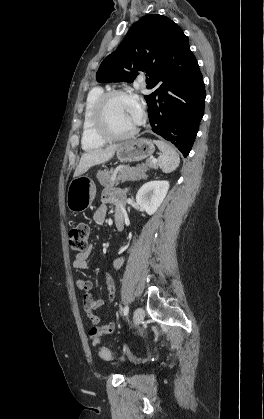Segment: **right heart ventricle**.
I'll list each match as a JSON object with an SVG mask.
<instances>
[{"instance_id": "obj_1", "label": "right heart ventricle", "mask_w": 264, "mask_h": 419, "mask_svg": "<svg viewBox=\"0 0 264 419\" xmlns=\"http://www.w3.org/2000/svg\"><path fill=\"white\" fill-rule=\"evenodd\" d=\"M106 90L102 87L93 88L86 98L85 109L83 114L81 145L86 151L97 149L104 145L105 140L100 138L93 129L92 115L94 106L99 97L105 93Z\"/></svg>"}]
</instances>
